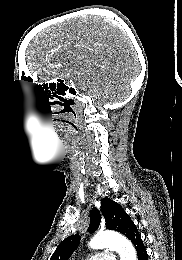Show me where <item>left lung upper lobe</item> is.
Listing matches in <instances>:
<instances>
[{"label":"left lung upper lobe","mask_w":182,"mask_h":260,"mask_svg":"<svg viewBox=\"0 0 182 260\" xmlns=\"http://www.w3.org/2000/svg\"><path fill=\"white\" fill-rule=\"evenodd\" d=\"M101 213L106 220V228L115 230L127 236L135 227L130 216L124 211L122 206L109 198L101 201ZM101 213L97 208H93L90 214L89 233H93L100 225ZM80 243L79 235H71L62 241L52 254L50 260H68Z\"/></svg>","instance_id":"5c2ea615"}]
</instances>
